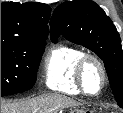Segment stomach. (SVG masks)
<instances>
[{
  "mask_svg": "<svg viewBox=\"0 0 123 113\" xmlns=\"http://www.w3.org/2000/svg\"><path fill=\"white\" fill-rule=\"evenodd\" d=\"M70 113H84V110L75 108V109H71Z\"/></svg>",
  "mask_w": 123,
  "mask_h": 113,
  "instance_id": "stomach-1",
  "label": "stomach"
}]
</instances>
